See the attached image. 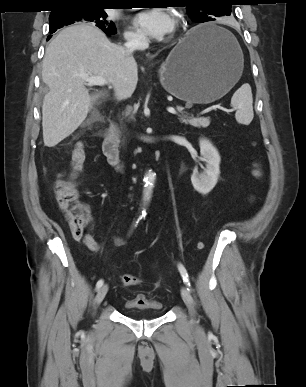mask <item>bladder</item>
I'll return each mask as SVG.
<instances>
[{"label": "bladder", "instance_id": "bladder-1", "mask_svg": "<svg viewBox=\"0 0 306 387\" xmlns=\"http://www.w3.org/2000/svg\"><path fill=\"white\" fill-rule=\"evenodd\" d=\"M124 309L131 317H136L140 313H148L153 317H159L164 313V307L161 302L150 299L144 294H138L135 298L127 301Z\"/></svg>", "mask_w": 306, "mask_h": 387}]
</instances>
